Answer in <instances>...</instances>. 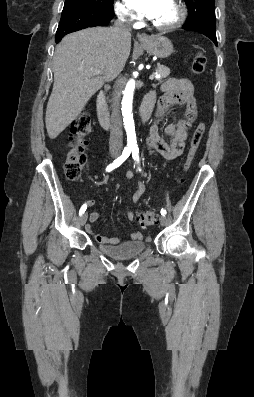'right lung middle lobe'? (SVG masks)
Returning <instances> with one entry per match:
<instances>
[{"mask_svg":"<svg viewBox=\"0 0 254 397\" xmlns=\"http://www.w3.org/2000/svg\"><path fill=\"white\" fill-rule=\"evenodd\" d=\"M114 0H66L65 3L74 4L81 8L97 12H112Z\"/></svg>","mask_w":254,"mask_h":397,"instance_id":"1","label":"right lung middle lobe"}]
</instances>
